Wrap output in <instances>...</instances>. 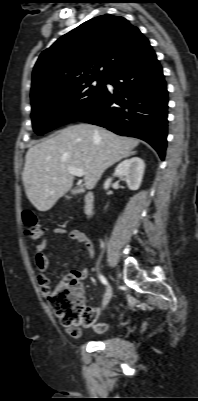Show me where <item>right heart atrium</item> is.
<instances>
[{"instance_id":"right-heart-atrium-1","label":"right heart atrium","mask_w":198,"mask_h":401,"mask_svg":"<svg viewBox=\"0 0 198 401\" xmlns=\"http://www.w3.org/2000/svg\"><path fill=\"white\" fill-rule=\"evenodd\" d=\"M60 105H61V107L65 108V107H67L68 102L65 101V100H63V101L60 103Z\"/></svg>"}]
</instances>
